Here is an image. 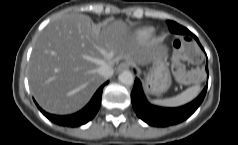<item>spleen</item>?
<instances>
[{
	"mask_svg": "<svg viewBox=\"0 0 238 145\" xmlns=\"http://www.w3.org/2000/svg\"><path fill=\"white\" fill-rule=\"evenodd\" d=\"M200 91H201L200 84L196 83L194 86L189 87L188 89H186L181 94L175 97L167 98L163 100H153L152 102L154 104L163 105V106H171V107L179 106L193 100L195 97H197Z\"/></svg>",
	"mask_w": 238,
	"mask_h": 145,
	"instance_id": "3e777b00",
	"label": "spleen"
}]
</instances>
